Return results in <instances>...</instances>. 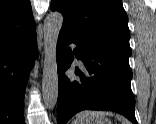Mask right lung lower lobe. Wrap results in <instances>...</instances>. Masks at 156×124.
I'll return each instance as SVG.
<instances>
[{
  "label": "right lung lower lobe",
  "instance_id": "98d812e1",
  "mask_svg": "<svg viewBox=\"0 0 156 124\" xmlns=\"http://www.w3.org/2000/svg\"><path fill=\"white\" fill-rule=\"evenodd\" d=\"M36 56L35 29L0 37V124H25V87Z\"/></svg>",
  "mask_w": 156,
  "mask_h": 124
}]
</instances>
